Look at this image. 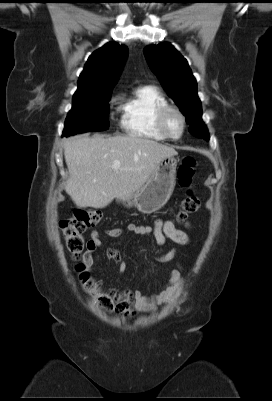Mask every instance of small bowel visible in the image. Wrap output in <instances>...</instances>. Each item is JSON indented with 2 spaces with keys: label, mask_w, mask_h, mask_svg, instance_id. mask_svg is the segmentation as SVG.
Returning <instances> with one entry per match:
<instances>
[{
  "label": "small bowel",
  "mask_w": 272,
  "mask_h": 401,
  "mask_svg": "<svg viewBox=\"0 0 272 401\" xmlns=\"http://www.w3.org/2000/svg\"><path fill=\"white\" fill-rule=\"evenodd\" d=\"M125 232L137 236L152 235L158 246H163L167 240H170L178 245H186L189 242L187 233L176 227L175 220H157L153 226L130 223L125 228H112L105 230L107 236L111 238H119ZM102 245L100 232L94 230L87 242V250L83 256L82 264L85 269H91L94 266V255L98 248ZM177 254V250L173 249L159 258L164 261L172 260ZM108 259L117 264L120 274L126 270V264L121 259L119 252L116 249H108ZM184 280L180 270H173L164 287L151 295H144L140 291H122L113 290L112 294L117 301V313L121 316H133L136 311L146 312L151 311L158 304H165L172 300L174 295L183 286Z\"/></svg>",
  "instance_id": "small-bowel-1"
}]
</instances>
